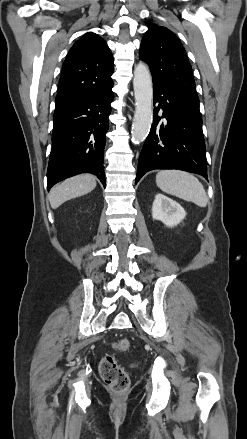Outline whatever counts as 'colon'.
Segmentation results:
<instances>
[{"mask_svg":"<svg viewBox=\"0 0 247 439\" xmlns=\"http://www.w3.org/2000/svg\"><path fill=\"white\" fill-rule=\"evenodd\" d=\"M116 350L128 352L130 344L127 339H121L114 344ZM100 374L105 383L114 392H122L129 383L128 374L118 364L113 355H106L100 363Z\"/></svg>","mask_w":247,"mask_h":439,"instance_id":"5ec220e1","label":"colon"}]
</instances>
